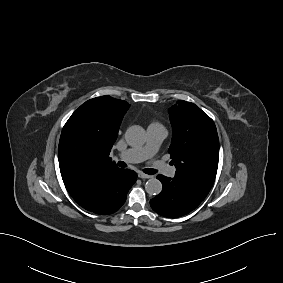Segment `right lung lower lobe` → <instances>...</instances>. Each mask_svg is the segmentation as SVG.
<instances>
[{
	"label": "right lung lower lobe",
	"instance_id": "obj_1",
	"mask_svg": "<svg viewBox=\"0 0 283 283\" xmlns=\"http://www.w3.org/2000/svg\"><path fill=\"white\" fill-rule=\"evenodd\" d=\"M136 180L137 174L132 170H107L70 195L81 207L90 212L109 214L124 204L127 192Z\"/></svg>",
	"mask_w": 283,
	"mask_h": 283
}]
</instances>
